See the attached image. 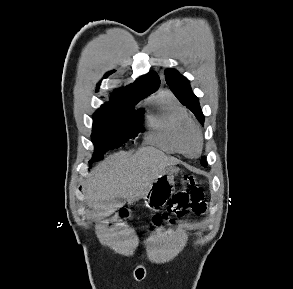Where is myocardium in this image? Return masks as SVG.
Listing matches in <instances>:
<instances>
[{"mask_svg":"<svg viewBox=\"0 0 293 289\" xmlns=\"http://www.w3.org/2000/svg\"><path fill=\"white\" fill-rule=\"evenodd\" d=\"M191 130L196 138L197 142V149L195 153L189 152L186 142H185V136L187 132ZM175 140L178 145V151L179 153L185 155L186 157L189 158H196L200 155L202 148H203V138H202V133L199 128V126L192 121L191 119H188L181 123V125L178 127L177 133L175 135Z\"/></svg>","mask_w":293,"mask_h":289,"instance_id":"f54148a6","label":"myocardium"}]
</instances>
